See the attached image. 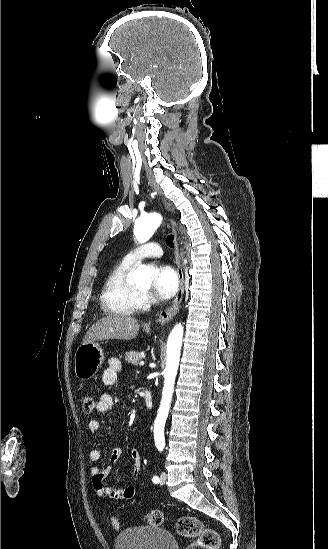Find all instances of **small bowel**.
I'll return each mask as SVG.
<instances>
[{"label": "small bowel", "mask_w": 328, "mask_h": 549, "mask_svg": "<svg viewBox=\"0 0 328 549\" xmlns=\"http://www.w3.org/2000/svg\"><path fill=\"white\" fill-rule=\"evenodd\" d=\"M121 369V365L118 359L111 358L109 361V367L106 368L102 374V382L105 386H113L117 381V373ZM114 406V399L110 394L101 395L96 410L99 413H107ZM88 428L91 432H97L101 428V424L96 419H91L88 422ZM122 454V449L119 445H115L110 457L109 464L106 468H102L99 465L101 458V452L99 449H91L89 452V461L91 463L89 472L92 479V484L97 496L101 499L108 500H130L135 496L136 489L133 485H128L121 489H114L104 483L105 476L112 465L117 463ZM130 457L133 461V478L136 479L141 471V452L138 448L134 447L130 451Z\"/></svg>", "instance_id": "1"}]
</instances>
